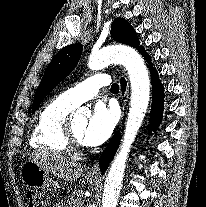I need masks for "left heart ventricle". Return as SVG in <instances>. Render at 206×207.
Masks as SVG:
<instances>
[{
  "mask_svg": "<svg viewBox=\"0 0 206 207\" xmlns=\"http://www.w3.org/2000/svg\"><path fill=\"white\" fill-rule=\"evenodd\" d=\"M71 124L75 135L79 138L81 142H83L82 135L87 126V120H76L73 121Z\"/></svg>",
  "mask_w": 206,
  "mask_h": 207,
  "instance_id": "left-heart-ventricle-1",
  "label": "left heart ventricle"
}]
</instances>
